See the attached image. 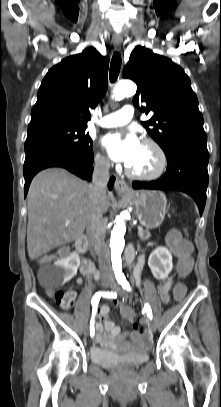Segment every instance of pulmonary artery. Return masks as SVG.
I'll use <instances>...</instances> for the list:
<instances>
[{"instance_id":"e3ab8cb5","label":"pulmonary artery","mask_w":221,"mask_h":407,"mask_svg":"<svg viewBox=\"0 0 221 407\" xmlns=\"http://www.w3.org/2000/svg\"><path fill=\"white\" fill-rule=\"evenodd\" d=\"M133 115H134L133 106L125 105L120 110L104 116L99 121V125L105 128L122 126L129 123Z\"/></svg>"}]
</instances>
